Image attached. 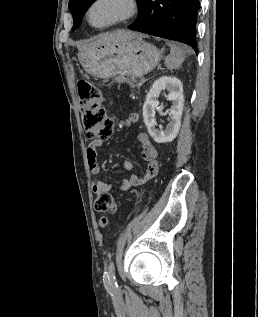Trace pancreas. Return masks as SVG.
Returning a JSON list of instances; mask_svg holds the SVG:
<instances>
[{"label":"pancreas","instance_id":"obj_1","mask_svg":"<svg viewBox=\"0 0 258 317\" xmlns=\"http://www.w3.org/2000/svg\"><path fill=\"white\" fill-rule=\"evenodd\" d=\"M126 82H129L131 88H134V86H137V84H133V82H131L130 78H127Z\"/></svg>","mask_w":258,"mask_h":317}]
</instances>
